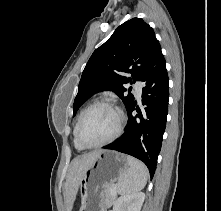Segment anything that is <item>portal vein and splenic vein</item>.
I'll return each mask as SVG.
<instances>
[{"mask_svg":"<svg viewBox=\"0 0 221 211\" xmlns=\"http://www.w3.org/2000/svg\"><path fill=\"white\" fill-rule=\"evenodd\" d=\"M112 194H116V186L111 190Z\"/></svg>","mask_w":221,"mask_h":211,"instance_id":"portal-vein-and-splenic-vein-1","label":"portal vein and splenic vein"}]
</instances>
